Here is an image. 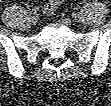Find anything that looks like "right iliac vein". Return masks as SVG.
Returning <instances> with one entry per match:
<instances>
[{
	"label": "right iliac vein",
	"instance_id": "1",
	"mask_svg": "<svg viewBox=\"0 0 111 106\" xmlns=\"http://www.w3.org/2000/svg\"><path fill=\"white\" fill-rule=\"evenodd\" d=\"M38 21H39V17H38L37 15H33V16L31 17V22H32L34 25L37 24Z\"/></svg>",
	"mask_w": 111,
	"mask_h": 106
}]
</instances>
